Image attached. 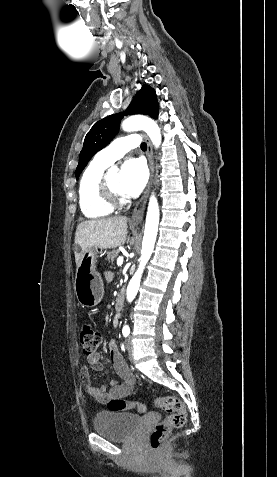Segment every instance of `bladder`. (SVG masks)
Wrapping results in <instances>:
<instances>
[{
    "label": "bladder",
    "instance_id": "1",
    "mask_svg": "<svg viewBox=\"0 0 277 477\" xmlns=\"http://www.w3.org/2000/svg\"><path fill=\"white\" fill-rule=\"evenodd\" d=\"M140 424V416L122 411L99 413L93 422L96 433L113 441H125L132 438Z\"/></svg>",
    "mask_w": 277,
    "mask_h": 477
}]
</instances>
